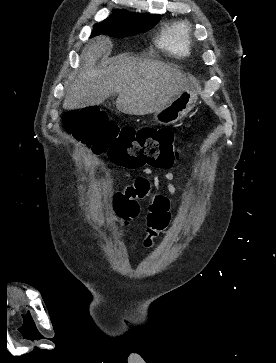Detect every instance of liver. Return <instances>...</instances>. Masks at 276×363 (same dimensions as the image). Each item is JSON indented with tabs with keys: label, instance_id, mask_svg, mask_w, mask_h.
Instances as JSON below:
<instances>
[{
	"label": "liver",
	"instance_id": "liver-1",
	"mask_svg": "<svg viewBox=\"0 0 276 363\" xmlns=\"http://www.w3.org/2000/svg\"><path fill=\"white\" fill-rule=\"evenodd\" d=\"M112 47L109 38L100 36L81 53L83 66L72 74L63 107L67 110L100 105L118 94V111L130 115L154 113L168 105L189 86L188 78L164 62L121 54L108 65L96 63Z\"/></svg>",
	"mask_w": 276,
	"mask_h": 363
}]
</instances>
